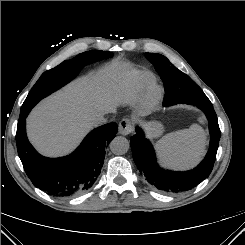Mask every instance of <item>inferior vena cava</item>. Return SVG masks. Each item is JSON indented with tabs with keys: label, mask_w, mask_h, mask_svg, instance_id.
Here are the masks:
<instances>
[{
	"label": "inferior vena cava",
	"mask_w": 245,
	"mask_h": 245,
	"mask_svg": "<svg viewBox=\"0 0 245 245\" xmlns=\"http://www.w3.org/2000/svg\"><path fill=\"white\" fill-rule=\"evenodd\" d=\"M95 124H102L107 122V118L104 115H99L94 120Z\"/></svg>",
	"instance_id": "obj_1"
}]
</instances>
